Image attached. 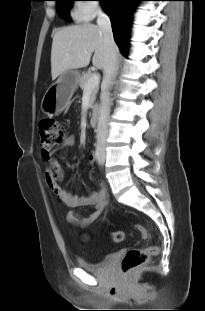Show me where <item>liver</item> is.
<instances>
[{
	"label": "liver",
	"instance_id": "liver-1",
	"mask_svg": "<svg viewBox=\"0 0 205 311\" xmlns=\"http://www.w3.org/2000/svg\"><path fill=\"white\" fill-rule=\"evenodd\" d=\"M92 64L98 69L105 66L103 33L99 26L83 23L58 29L53 35L51 75L56 79L62 73Z\"/></svg>",
	"mask_w": 205,
	"mask_h": 311
}]
</instances>
